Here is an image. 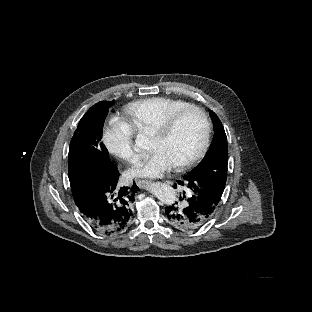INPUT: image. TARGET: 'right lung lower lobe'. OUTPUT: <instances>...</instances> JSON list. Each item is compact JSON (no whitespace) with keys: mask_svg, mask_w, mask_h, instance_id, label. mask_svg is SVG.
I'll return each mask as SVG.
<instances>
[{"mask_svg":"<svg viewBox=\"0 0 312 312\" xmlns=\"http://www.w3.org/2000/svg\"><path fill=\"white\" fill-rule=\"evenodd\" d=\"M118 177V170L101 173L71 188L81 216L95 231L106 235L126 230L133 214L134 193L139 190L135 183L132 188H119Z\"/></svg>","mask_w":312,"mask_h":312,"instance_id":"1","label":"right lung lower lobe"}]
</instances>
